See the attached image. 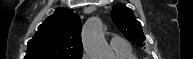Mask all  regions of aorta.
Wrapping results in <instances>:
<instances>
[{
    "mask_svg": "<svg viewBox=\"0 0 193 59\" xmlns=\"http://www.w3.org/2000/svg\"><path fill=\"white\" fill-rule=\"evenodd\" d=\"M82 37L84 49L90 58L112 59L113 54L104 38L99 18L92 17L85 23Z\"/></svg>",
    "mask_w": 193,
    "mask_h": 59,
    "instance_id": "1",
    "label": "aorta"
}]
</instances>
